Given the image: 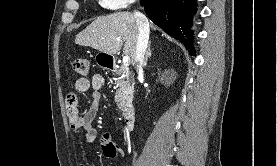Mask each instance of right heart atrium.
<instances>
[{"label":"right heart atrium","mask_w":277,"mask_h":166,"mask_svg":"<svg viewBox=\"0 0 277 166\" xmlns=\"http://www.w3.org/2000/svg\"><path fill=\"white\" fill-rule=\"evenodd\" d=\"M136 1L137 0H98V3L104 9L120 10L132 5Z\"/></svg>","instance_id":"right-heart-atrium-1"}]
</instances>
